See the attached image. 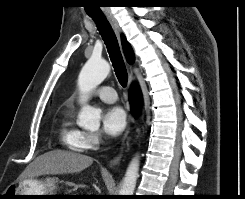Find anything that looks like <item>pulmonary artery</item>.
<instances>
[{
	"label": "pulmonary artery",
	"mask_w": 245,
	"mask_h": 199,
	"mask_svg": "<svg viewBox=\"0 0 245 199\" xmlns=\"http://www.w3.org/2000/svg\"><path fill=\"white\" fill-rule=\"evenodd\" d=\"M92 95L99 97L102 101L113 103L117 100L115 90L109 86L99 87L91 92Z\"/></svg>",
	"instance_id": "e3ab8cb5"
}]
</instances>
